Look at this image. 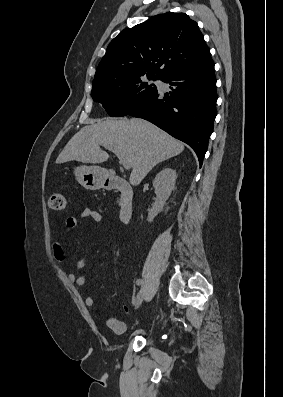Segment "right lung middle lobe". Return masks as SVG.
Listing matches in <instances>:
<instances>
[{
    "label": "right lung middle lobe",
    "instance_id": "dd1d6c3e",
    "mask_svg": "<svg viewBox=\"0 0 283 397\" xmlns=\"http://www.w3.org/2000/svg\"><path fill=\"white\" fill-rule=\"evenodd\" d=\"M149 80L158 78L146 76ZM142 77L93 82L91 96L99 102L111 117L128 115L137 106L149 100L157 88L143 82Z\"/></svg>",
    "mask_w": 283,
    "mask_h": 397
}]
</instances>
